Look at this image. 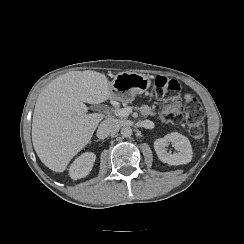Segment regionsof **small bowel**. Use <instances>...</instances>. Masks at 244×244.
I'll use <instances>...</instances> for the list:
<instances>
[{
    "mask_svg": "<svg viewBox=\"0 0 244 244\" xmlns=\"http://www.w3.org/2000/svg\"><path fill=\"white\" fill-rule=\"evenodd\" d=\"M192 98H194V96H193V94H191V93H189V92H186V93H184V95H183V99H184L186 102L190 101ZM143 112H144L145 114L151 115V114H154V109L151 108V107H145V108L143 109Z\"/></svg>",
    "mask_w": 244,
    "mask_h": 244,
    "instance_id": "c3829d8e",
    "label": "small bowel"
}]
</instances>
